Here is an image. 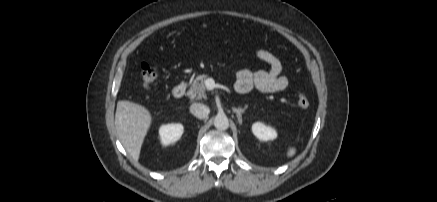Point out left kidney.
Listing matches in <instances>:
<instances>
[{
  "label": "left kidney",
  "mask_w": 437,
  "mask_h": 202,
  "mask_svg": "<svg viewBox=\"0 0 437 202\" xmlns=\"http://www.w3.org/2000/svg\"><path fill=\"white\" fill-rule=\"evenodd\" d=\"M252 132L261 141L273 140L277 137L276 130L262 122H255L252 125Z\"/></svg>",
  "instance_id": "5707ae66"
}]
</instances>
